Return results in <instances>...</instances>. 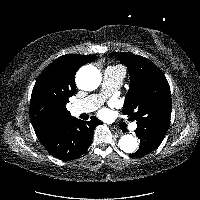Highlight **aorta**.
Wrapping results in <instances>:
<instances>
[{
	"mask_svg": "<svg viewBox=\"0 0 200 200\" xmlns=\"http://www.w3.org/2000/svg\"><path fill=\"white\" fill-rule=\"evenodd\" d=\"M101 79L100 71L94 66H84L76 75L78 87L85 91L95 90L100 85ZM119 147L125 153H133L138 147L137 138L130 134L123 135L119 140Z\"/></svg>",
	"mask_w": 200,
	"mask_h": 200,
	"instance_id": "1",
	"label": "aorta"
}]
</instances>
